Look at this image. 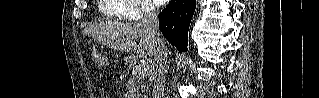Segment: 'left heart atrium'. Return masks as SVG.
<instances>
[{
  "label": "left heart atrium",
  "instance_id": "1",
  "mask_svg": "<svg viewBox=\"0 0 319 98\" xmlns=\"http://www.w3.org/2000/svg\"><path fill=\"white\" fill-rule=\"evenodd\" d=\"M165 2H166V0H158V3H161V4H163Z\"/></svg>",
  "mask_w": 319,
  "mask_h": 98
}]
</instances>
